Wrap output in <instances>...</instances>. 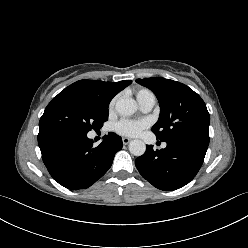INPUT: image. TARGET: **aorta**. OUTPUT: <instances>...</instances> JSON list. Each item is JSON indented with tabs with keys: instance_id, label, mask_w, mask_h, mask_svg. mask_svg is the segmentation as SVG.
I'll return each mask as SVG.
<instances>
[{
	"instance_id": "aorta-1",
	"label": "aorta",
	"mask_w": 248,
	"mask_h": 248,
	"mask_svg": "<svg viewBox=\"0 0 248 248\" xmlns=\"http://www.w3.org/2000/svg\"><path fill=\"white\" fill-rule=\"evenodd\" d=\"M137 110V104L132 99H121L116 103V111L122 116H130ZM146 145L141 140H132L129 143V151L134 156H141L145 153Z\"/></svg>"
}]
</instances>
